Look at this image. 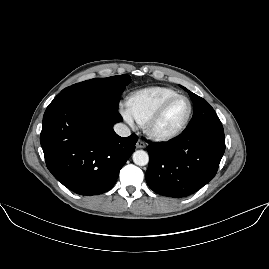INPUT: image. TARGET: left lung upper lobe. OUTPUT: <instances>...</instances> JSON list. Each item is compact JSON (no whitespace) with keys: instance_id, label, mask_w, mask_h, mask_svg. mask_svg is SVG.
I'll use <instances>...</instances> for the list:
<instances>
[{"instance_id":"left-lung-upper-lobe-1","label":"left lung upper lobe","mask_w":269,"mask_h":269,"mask_svg":"<svg viewBox=\"0 0 269 269\" xmlns=\"http://www.w3.org/2000/svg\"><path fill=\"white\" fill-rule=\"evenodd\" d=\"M181 87L188 92L193 102L194 112L192 119L188 124L187 128L185 129L184 133L191 132L206 126L221 125V121L219 120L217 114L206 100L190 92L185 87Z\"/></svg>"}]
</instances>
